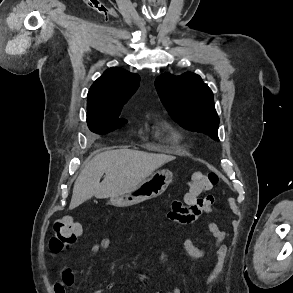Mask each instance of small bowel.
Segmentation results:
<instances>
[{
	"instance_id": "small-bowel-1",
	"label": "small bowel",
	"mask_w": 293,
	"mask_h": 293,
	"mask_svg": "<svg viewBox=\"0 0 293 293\" xmlns=\"http://www.w3.org/2000/svg\"><path fill=\"white\" fill-rule=\"evenodd\" d=\"M213 196L209 195L203 199H200L198 203L193 205H183L180 201L176 200L172 203L171 210L166 214V218L172 222L179 224H188L196 221L203 212H210L213 206ZM186 203V202H185ZM207 227L214 238L215 242L210 248H200L196 246L190 238H186L183 241V246L187 254L194 259H201L211 253H215L217 257V263L213 268V271L205 281V286L209 287L210 283L219 275L223 261L226 257L227 248L222 242L225 239L230 238V234L221 230L215 223L207 222ZM82 234V231H81ZM80 234V235H81ZM112 240L108 237L101 239L99 242L94 243L91 246V253L98 254L104 250L110 248ZM61 281L54 283V293H66V287H71L74 283L73 271L69 268H63L61 270ZM113 283H108L107 288L112 289ZM98 293V292H97ZM167 293H182L179 287H174ZM206 293H209V289Z\"/></svg>"
}]
</instances>
